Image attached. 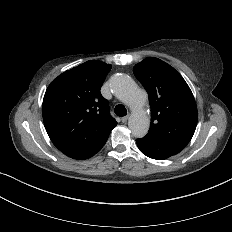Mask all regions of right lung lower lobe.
Masks as SVG:
<instances>
[{"label": "right lung lower lobe", "mask_w": 232, "mask_h": 232, "mask_svg": "<svg viewBox=\"0 0 232 232\" xmlns=\"http://www.w3.org/2000/svg\"><path fill=\"white\" fill-rule=\"evenodd\" d=\"M103 144L89 150H81V151H65L63 152L66 156L73 158V159H78V160H84L92 157L95 155L105 144Z\"/></svg>", "instance_id": "obj_1"}]
</instances>
